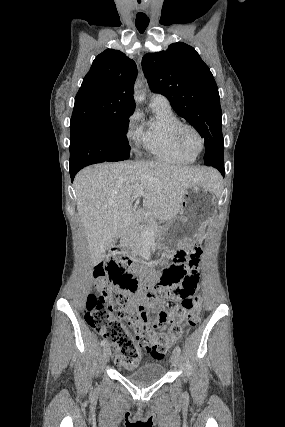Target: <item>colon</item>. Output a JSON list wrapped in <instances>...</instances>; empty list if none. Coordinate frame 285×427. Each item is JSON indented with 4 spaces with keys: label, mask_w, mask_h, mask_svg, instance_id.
Returning <instances> with one entry per match:
<instances>
[{
    "label": "colon",
    "mask_w": 285,
    "mask_h": 427,
    "mask_svg": "<svg viewBox=\"0 0 285 427\" xmlns=\"http://www.w3.org/2000/svg\"><path fill=\"white\" fill-rule=\"evenodd\" d=\"M195 253L194 245L187 244L186 250L175 252L171 265L161 272H151L144 282L137 278L135 263L122 255L113 253L106 265L95 267L93 281L97 293L87 294L84 317L113 346L118 364L133 369L144 351L153 359L162 360L170 344L183 336L184 328L196 326L202 301L193 291L199 275L183 267ZM178 286L184 292L163 315L165 325L148 324L151 302L166 290L175 293Z\"/></svg>",
    "instance_id": "5ec220e1"
}]
</instances>
